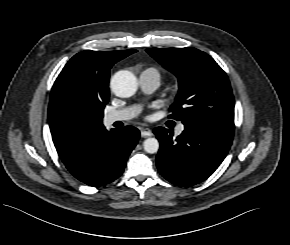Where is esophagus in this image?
Instances as JSON below:
<instances>
[{
	"instance_id": "34e87169",
	"label": "esophagus",
	"mask_w": 290,
	"mask_h": 245,
	"mask_svg": "<svg viewBox=\"0 0 290 245\" xmlns=\"http://www.w3.org/2000/svg\"><path fill=\"white\" fill-rule=\"evenodd\" d=\"M152 135H153V133H152L151 129H149V128H143L141 130V136L144 138L152 136Z\"/></svg>"
}]
</instances>
